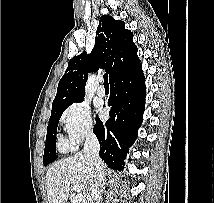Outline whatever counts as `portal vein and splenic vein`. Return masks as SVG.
Segmentation results:
<instances>
[{"label":"portal vein and splenic vein","mask_w":214,"mask_h":203,"mask_svg":"<svg viewBox=\"0 0 214 203\" xmlns=\"http://www.w3.org/2000/svg\"><path fill=\"white\" fill-rule=\"evenodd\" d=\"M74 190L78 194L74 196L73 203H81L83 201V199H84V196L80 193V191L82 190L81 187L76 185V186H74Z\"/></svg>","instance_id":"18ae733b"}]
</instances>
